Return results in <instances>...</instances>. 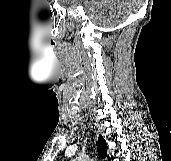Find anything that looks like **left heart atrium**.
<instances>
[{
    "mask_svg": "<svg viewBox=\"0 0 171 161\" xmlns=\"http://www.w3.org/2000/svg\"><path fill=\"white\" fill-rule=\"evenodd\" d=\"M81 161H87L86 159H83V160H81Z\"/></svg>",
    "mask_w": 171,
    "mask_h": 161,
    "instance_id": "obj_1",
    "label": "left heart atrium"
}]
</instances>
